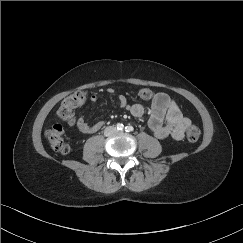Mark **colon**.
<instances>
[{
    "mask_svg": "<svg viewBox=\"0 0 243 243\" xmlns=\"http://www.w3.org/2000/svg\"><path fill=\"white\" fill-rule=\"evenodd\" d=\"M87 98V94L83 90L76 91L75 93L64 98L58 107V116L67 124H74V110L82 105ZM46 137L50 142L52 148L61 153L67 154L70 150L68 143L63 138V128L60 124L55 123L46 130ZM200 137V129L196 126H189L187 130V138L189 141H197Z\"/></svg>",
    "mask_w": 243,
    "mask_h": 243,
    "instance_id": "obj_1",
    "label": "colon"
}]
</instances>
